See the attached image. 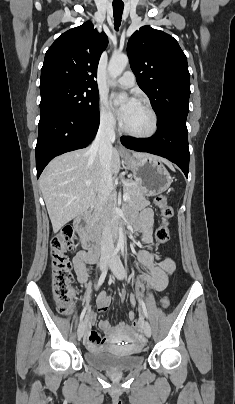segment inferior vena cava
Returning a JSON list of instances; mask_svg holds the SVG:
<instances>
[{"label":"inferior vena cava","instance_id":"602c4592","mask_svg":"<svg viewBox=\"0 0 235 404\" xmlns=\"http://www.w3.org/2000/svg\"><path fill=\"white\" fill-rule=\"evenodd\" d=\"M115 120L108 118L100 123L98 133L95 140L91 144L90 151L98 152L99 161L102 167V179L98 192L100 203H105L108 199L109 193L112 190V173H111V159H112V143L115 140ZM114 251V242L112 232L109 226L104 228L101 239V255L111 254Z\"/></svg>","mask_w":235,"mask_h":404}]
</instances>
